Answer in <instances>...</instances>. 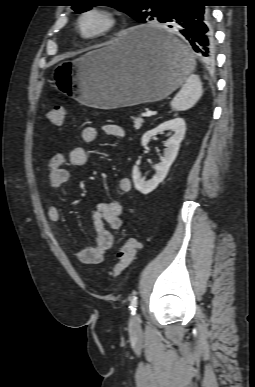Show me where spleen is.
I'll return each instance as SVG.
<instances>
[{"mask_svg": "<svg viewBox=\"0 0 255 387\" xmlns=\"http://www.w3.org/2000/svg\"><path fill=\"white\" fill-rule=\"evenodd\" d=\"M203 94L202 84L199 77L190 74L181 90L171 101V108L175 111H185L192 108Z\"/></svg>", "mask_w": 255, "mask_h": 387, "instance_id": "obj_1", "label": "spleen"}]
</instances>
